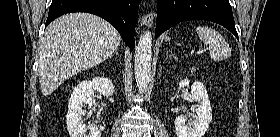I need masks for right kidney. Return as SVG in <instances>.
I'll return each mask as SVG.
<instances>
[{"label": "right kidney", "mask_w": 280, "mask_h": 137, "mask_svg": "<svg viewBox=\"0 0 280 137\" xmlns=\"http://www.w3.org/2000/svg\"><path fill=\"white\" fill-rule=\"evenodd\" d=\"M94 91L103 96H112L114 86L110 79L96 77L86 80L77 85L69 99L68 113L66 115L67 129L70 137H101V132L97 127H89L83 124L82 116L86 113L83 109L85 105L92 107V95ZM90 130L89 135L86 134Z\"/></svg>", "instance_id": "right-kidney-1"}]
</instances>
